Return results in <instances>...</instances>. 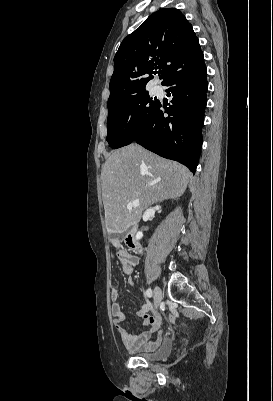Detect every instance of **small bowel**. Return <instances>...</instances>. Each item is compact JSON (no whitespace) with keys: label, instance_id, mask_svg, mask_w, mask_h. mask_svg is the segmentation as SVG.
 <instances>
[{"label":"small bowel","instance_id":"c3829d8e","mask_svg":"<svg viewBox=\"0 0 273 401\" xmlns=\"http://www.w3.org/2000/svg\"><path fill=\"white\" fill-rule=\"evenodd\" d=\"M113 245L116 248L115 256L123 272L131 274L138 263V258L128 249L123 248L119 241H115ZM128 283L133 285L134 281L129 279ZM110 296L112 301L111 313L114 317L113 325L117 334L122 338L125 347L135 352H152L156 350L163 342L162 316L158 312L151 315V305L148 303L142 304L136 315L144 330L139 333L131 332L122 325L125 314L119 302L120 293L118 287H112ZM183 323L186 328L190 327L188 318H185Z\"/></svg>","mask_w":273,"mask_h":401}]
</instances>
